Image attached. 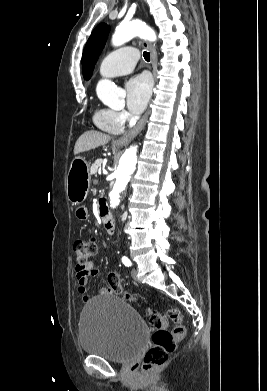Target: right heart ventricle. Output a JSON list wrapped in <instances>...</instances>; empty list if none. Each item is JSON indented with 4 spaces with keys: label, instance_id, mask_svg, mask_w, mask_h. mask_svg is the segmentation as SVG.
<instances>
[{
    "label": "right heart ventricle",
    "instance_id": "e07e8e85",
    "mask_svg": "<svg viewBox=\"0 0 267 391\" xmlns=\"http://www.w3.org/2000/svg\"><path fill=\"white\" fill-rule=\"evenodd\" d=\"M93 121L99 129L110 134H118L122 130V125L114 119L113 111L108 108L96 109Z\"/></svg>",
    "mask_w": 267,
    "mask_h": 391
}]
</instances>
